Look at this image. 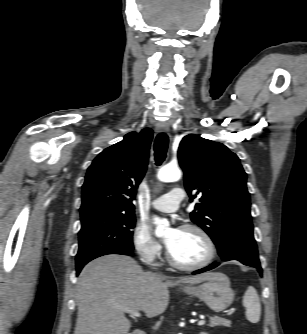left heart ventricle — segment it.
<instances>
[{"label":"left heart ventricle","mask_w":307,"mask_h":334,"mask_svg":"<svg viewBox=\"0 0 307 334\" xmlns=\"http://www.w3.org/2000/svg\"><path fill=\"white\" fill-rule=\"evenodd\" d=\"M170 252L179 262L194 264L206 257L207 247L197 232L181 230L179 240Z\"/></svg>","instance_id":"b2bd125f"}]
</instances>
